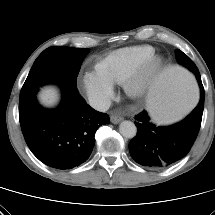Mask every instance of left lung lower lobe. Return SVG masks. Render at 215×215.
Instances as JSON below:
<instances>
[{
  "mask_svg": "<svg viewBox=\"0 0 215 215\" xmlns=\"http://www.w3.org/2000/svg\"><path fill=\"white\" fill-rule=\"evenodd\" d=\"M200 102L181 122L170 126H156L147 111L135 116L137 135L129 143L131 157L140 165L160 169L170 166L185 157L198 135L204 109V88L201 78Z\"/></svg>",
  "mask_w": 215,
  "mask_h": 215,
  "instance_id": "1",
  "label": "left lung lower lobe"
}]
</instances>
